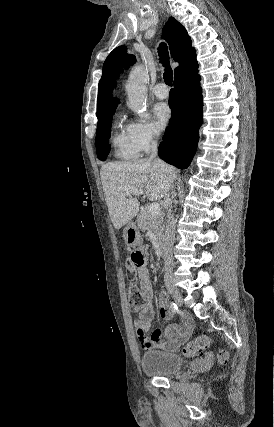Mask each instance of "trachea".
Returning <instances> with one entry per match:
<instances>
[{"instance_id": "obj_1", "label": "trachea", "mask_w": 274, "mask_h": 427, "mask_svg": "<svg viewBox=\"0 0 274 427\" xmlns=\"http://www.w3.org/2000/svg\"><path fill=\"white\" fill-rule=\"evenodd\" d=\"M158 53H159V57H160V62L165 67V71L163 74L164 81L167 85H169L171 87L172 81H173V73H172V70L169 66L168 50H167V47L164 43H161V45L159 46Z\"/></svg>"}]
</instances>
